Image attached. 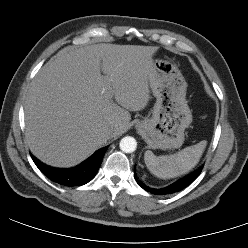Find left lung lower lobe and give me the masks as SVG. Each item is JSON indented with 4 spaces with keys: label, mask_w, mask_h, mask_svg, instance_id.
Here are the masks:
<instances>
[{
    "label": "left lung lower lobe",
    "mask_w": 248,
    "mask_h": 248,
    "mask_svg": "<svg viewBox=\"0 0 248 248\" xmlns=\"http://www.w3.org/2000/svg\"><path fill=\"white\" fill-rule=\"evenodd\" d=\"M203 166L199 167L194 172L190 173L189 175L177 180L176 182L164 187V188H150L146 186L142 181L138 179L135 173V180L136 182L146 191L155 194V195H167V194H173L176 192H179L189 186L201 173Z\"/></svg>",
    "instance_id": "obj_1"
}]
</instances>
